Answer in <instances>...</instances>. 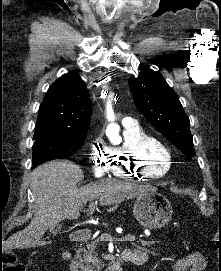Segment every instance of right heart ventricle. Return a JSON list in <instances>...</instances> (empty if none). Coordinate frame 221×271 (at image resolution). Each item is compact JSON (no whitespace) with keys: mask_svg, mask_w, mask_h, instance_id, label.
<instances>
[{"mask_svg":"<svg viewBox=\"0 0 221 271\" xmlns=\"http://www.w3.org/2000/svg\"><path fill=\"white\" fill-rule=\"evenodd\" d=\"M165 144L161 137L147 132L125 139L120 146L123 153L120 159L108 166L112 176L119 179H156V176L162 179L172 176L176 160L167 158L169 149Z\"/></svg>","mask_w":221,"mask_h":271,"instance_id":"obj_1","label":"right heart ventricle"}]
</instances>
